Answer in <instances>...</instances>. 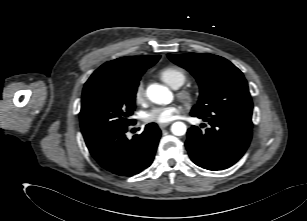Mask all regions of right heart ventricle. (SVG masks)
Returning a JSON list of instances; mask_svg holds the SVG:
<instances>
[{
    "label": "right heart ventricle",
    "instance_id": "e07e8e85",
    "mask_svg": "<svg viewBox=\"0 0 307 221\" xmlns=\"http://www.w3.org/2000/svg\"><path fill=\"white\" fill-rule=\"evenodd\" d=\"M158 77L171 86L172 88H179L187 81V73L177 66H165L158 71Z\"/></svg>",
    "mask_w": 307,
    "mask_h": 221
}]
</instances>
